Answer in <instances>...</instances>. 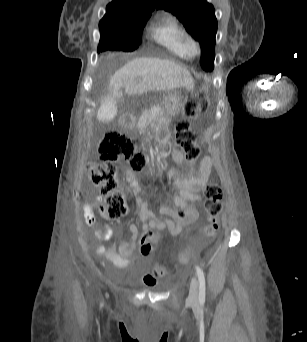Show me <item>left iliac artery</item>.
<instances>
[{"instance_id": "44dca946", "label": "left iliac artery", "mask_w": 307, "mask_h": 342, "mask_svg": "<svg viewBox=\"0 0 307 342\" xmlns=\"http://www.w3.org/2000/svg\"><path fill=\"white\" fill-rule=\"evenodd\" d=\"M196 273L199 280V302L202 304L205 302V292H206V284H205V275L203 270L196 266Z\"/></svg>"}]
</instances>
